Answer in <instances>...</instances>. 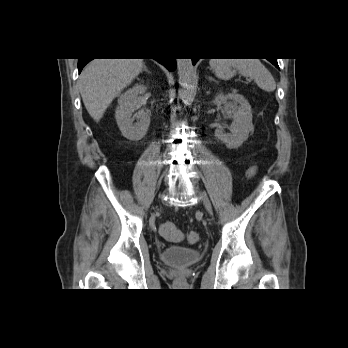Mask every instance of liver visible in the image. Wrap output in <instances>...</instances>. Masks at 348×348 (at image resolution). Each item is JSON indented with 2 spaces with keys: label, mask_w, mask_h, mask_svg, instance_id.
<instances>
[{
  "label": "liver",
  "mask_w": 348,
  "mask_h": 348,
  "mask_svg": "<svg viewBox=\"0 0 348 348\" xmlns=\"http://www.w3.org/2000/svg\"><path fill=\"white\" fill-rule=\"evenodd\" d=\"M143 59H94L79 77L83 103L100 121L112 101L142 72Z\"/></svg>",
  "instance_id": "obj_1"
}]
</instances>
